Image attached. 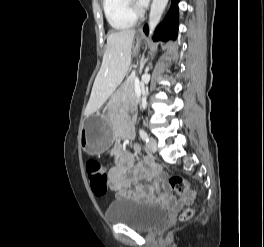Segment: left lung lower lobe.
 Listing matches in <instances>:
<instances>
[{
    "mask_svg": "<svg viewBox=\"0 0 264 247\" xmlns=\"http://www.w3.org/2000/svg\"><path fill=\"white\" fill-rule=\"evenodd\" d=\"M178 2L179 0H172L169 12L164 21L156 28L154 34V41H167L176 39L177 37V19H178ZM143 31L148 35V26L145 25Z\"/></svg>",
    "mask_w": 264,
    "mask_h": 247,
    "instance_id": "obj_1",
    "label": "left lung lower lobe"
}]
</instances>
